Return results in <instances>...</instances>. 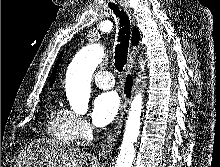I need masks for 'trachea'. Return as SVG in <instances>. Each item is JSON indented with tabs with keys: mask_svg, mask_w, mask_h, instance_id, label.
Segmentation results:
<instances>
[{
	"mask_svg": "<svg viewBox=\"0 0 220 167\" xmlns=\"http://www.w3.org/2000/svg\"><path fill=\"white\" fill-rule=\"evenodd\" d=\"M116 17L119 18V35L115 47V67L117 71L122 72L127 63L129 39H130V21L127 14L116 5L110 6Z\"/></svg>",
	"mask_w": 220,
	"mask_h": 167,
	"instance_id": "1",
	"label": "trachea"
}]
</instances>
